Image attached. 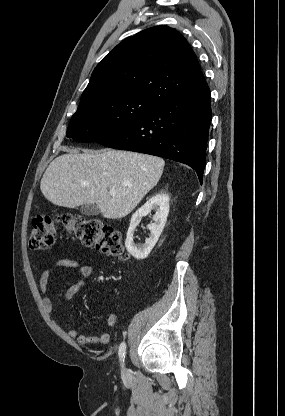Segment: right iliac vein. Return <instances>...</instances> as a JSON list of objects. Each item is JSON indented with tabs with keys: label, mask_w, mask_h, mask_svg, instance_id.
<instances>
[{
	"label": "right iliac vein",
	"mask_w": 285,
	"mask_h": 416,
	"mask_svg": "<svg viewBox=\"0 0 285 416\" xmlns=\"http://www.w3.org/2000/svg\"><path fill=\"white\" fill-rule=\"evenodd\" d=\"M122 374L125 376V375H127V369H126V367L124 366L123 367V369H122Z\"/></svg>",
	"instance_id": "63e3f726"
}]
</instances>
